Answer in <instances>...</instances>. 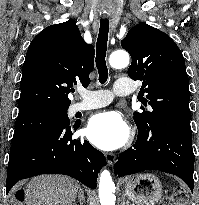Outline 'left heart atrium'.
<instances>
[{
  "instance_id": "1",
  "label": "left heart atrium",
  "mask_w": 199,
  "mask_h": 205,
  "mask_svg": "<svg viewBox=\"0 0 199 205\" xmlns=\"http://www.w3.org/2000/svg\"><path fill=\"white\" fill-rule=\"evenodd\" d=\"M130 130L122 116L115 111L94 115L86 128V136L97 147L113 150L121 147L129 138Z\"/></svg>"
}]
</instances>
